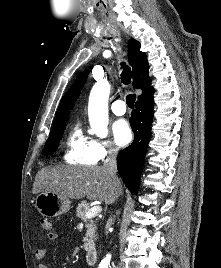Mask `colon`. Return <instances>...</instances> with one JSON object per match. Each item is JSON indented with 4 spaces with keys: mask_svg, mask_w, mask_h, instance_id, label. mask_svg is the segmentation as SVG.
<instances>
[{
    "mask_svg": "<svg viewBox=\"0 0 221 268\" xmlns=\"http://www.w3.org/2000/svg\"><path fill=\"white\" fill-rule=\"evenodd\" d=\"M41 227H42V229H43L44 231L49 232V231L52 230L53 225H52V223H51V221H50L49 219H47V218H42V219H41Z\"/></svg>",
    "mask_w": 221,
    "mask_h": 268,
    "instance_id": "1",
    "label": "colon"
}]
</instances>
